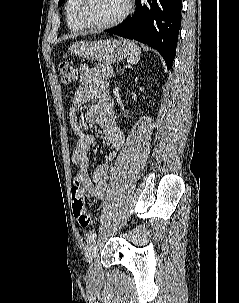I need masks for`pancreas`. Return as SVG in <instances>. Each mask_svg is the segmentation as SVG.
Instances as JSON below:
<instances>
[{
	"label": "pancreas",
	"mask_w": 239,
	"mask_h": 303,
	"mask_svg": "<svg viewBox=\"0 0 239 303\" xmlns=\"http://www.w3.org/2000/svg\"><path fill=\"white\" fill-rule=\"evenodd\" d=\"M99 69H101L100 71V76L104 79H110L111 77L114 76L113 72L109 71L110 70V66L106 65V64H100L98 66Z\"/></svg>",
	"instance_id": "1"
}]
</instances>
